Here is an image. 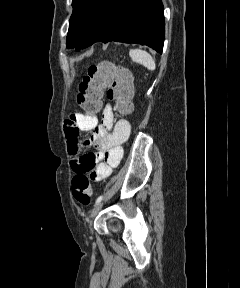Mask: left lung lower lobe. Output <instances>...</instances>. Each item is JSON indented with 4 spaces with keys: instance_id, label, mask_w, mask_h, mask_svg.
Segmentation results:
<instances>
[{
    "instance_id": "obj_1",
    "label": "left lung lower lobe",
    "mask_w": 240,
    "mask_h": 288,
    "mask_svg": "<svg viewBox=\"0 0 240 288\" xmlns=\"http://www.w3.org/2000/svg\"><path fill=\"white\" fill-rule=\"evenodd\" d=\"M164 14L161 0H109L105 11L81 48L95 42L138 43L162 51Z\"/></svg>"
}]
</instances>
